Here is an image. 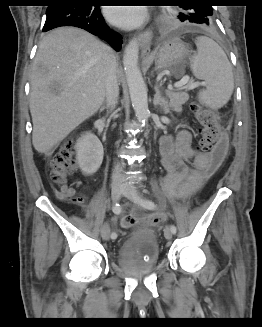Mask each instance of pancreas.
I'll return each mask as SVG.
<instances>
[{"label": "pancreas", "mask_w": 262, "mask_h": 327, "mask_svg": "<svg viewBox=\"0 0 262 327\" xmlns=\"http://www.w3.org/2000/svg\"><path fill=\"white\" fill-rule=\"evenodd\" d=\"M167 97L169 98L168 106L176 112H181L182 105L189 99L187 93L173 90L167 91Z\"/></svg>", "instance_id": "obj_1"}]
</instances>
